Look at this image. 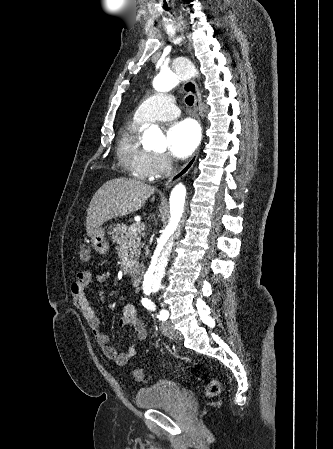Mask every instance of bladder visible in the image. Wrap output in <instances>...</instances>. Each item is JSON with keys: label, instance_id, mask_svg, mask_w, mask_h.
Returning a JSON list of instances; mask_svg holds the SVG:
<instances>
[{"label": "bladder", "instance_id": "bladder-1", "mask_svg": "<svg viewBox=\"0 0 333 449\" xmlns=\"http://www.w3.org/2000/svg\"><path fill=\"white\" fill-rule=\"evenodd\" d=\"M181 394V386L172 380L158 381L141 388L135 395V404L141 409L172 406Z\"/></svg>", "mask_w": 333, "mask_h": 449}]
</instances>
